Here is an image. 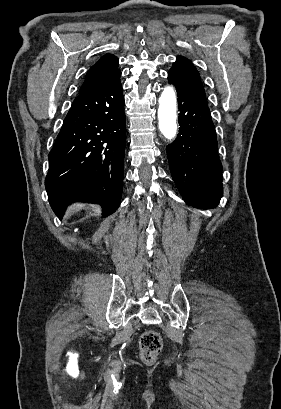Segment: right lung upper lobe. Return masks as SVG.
<instances>
[{"instance_id":"cb5924a9","label":"right lung upper lobe","mask_w":281,"mask_h":409,"mask_svg":"<svg viewBox=\"0 0 281 409\" xmlns=\"http://www.w3.org/2000/svg\"><path fill=\"white\" fill-rule=\"evenodd\" d=\"M118 59L112 54L101 57L88 71L79 94L91 92L109 83L119 72Z\"/></svg>"}]
</instances>
